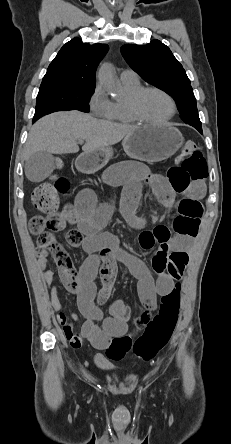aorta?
I'll return each mask as SVG.
<instances>
[{
  "label": "aorta",
  "mask_w": 231,
  "mask_h": 444,
  "mask_svg": "<svg viewBox=\"0 0 231 444\" xmlns=\"http://www.w3.org/2000/svg\"><path fill=\"white\" fill-rule=\"evenodd\" d=\"M99 82L110 92L117 90V84L114 77L113 68L109 64H105L101 67L98 74Z\"/></svg>",
  "instance_id": "762f6f07"
}]
</instances>
